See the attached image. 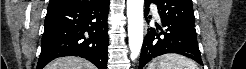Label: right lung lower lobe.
<instances>
[{
    "label": "right lung lower lobe",
    "mask_w": 246,
    "mask_h": 69,
    "mask_svg": "<svg viewBox=\"0 0 246 69\" xmlns=\"http://www.w3.org/2000/svg\"><path fill=\"white\" fill-rule=\"evenodd\" d=\"M109 0L48 7L37 69L61 56H80L107 69Z\"/></svg>",
    "instance_id": "1"
}]
</instances>
